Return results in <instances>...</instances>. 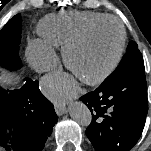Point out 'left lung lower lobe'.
Segmentation results:
<instances>
[{"instance_id":"left-lung-lower-lobe-1","label":"left lung lower lobe","mask_w":151,"mask_h":151,"mask_svg":"<svg viewBox=\"0 0 151 151\" xmlns=\"http://www.w3.org/2000/svg\"><path fill=\"white\" fill-rule=\"evenodd\" d=\"M80 100L92 113L86 130L96 151H129L140 138L148 112L145 67H134Z\"/></svg>"}]
</instances>
